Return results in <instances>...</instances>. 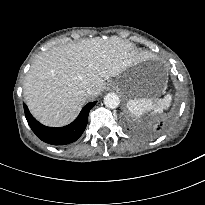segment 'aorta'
Segmentation results:
<instances>
[{
  "label": "aorta",
  "mask_w": 205,
  "mask_h": 205,
  "mask_svg": "<svg viewBox=\"0 0 205 205\" xmlns=\"http://www.w3.org/2000/svg\"><path fill=\"white\" fill-rule=\"evenodd\" d=\"M104 104L109 109H115L120 104V98L115 93H108L104 97Z\"/></svg>",
  "instance_id": "obj_1"
}]
</instances>
